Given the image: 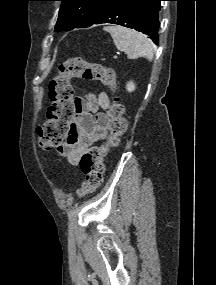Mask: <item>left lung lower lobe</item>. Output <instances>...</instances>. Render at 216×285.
<instances>
[{
	"label": "left lung lower lobe",
	"mask_w": 216,
	"mask_h": 285,
	"mask_svg": "<svg viewBox=\"0 0 216 285\" xmlns=\"http://www.w3.org/2000/svg\"><path fill=\"white\" fill-rule=\"evenodd\" d=\"M161 1L163 0H112L90 26L118 24L148 35L158 45Z\"/></svg>",
	"instance_id": "1"
}]
</instances>
